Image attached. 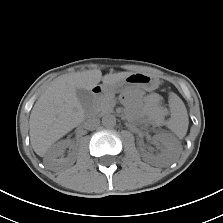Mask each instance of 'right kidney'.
Listing matches in <instances>:
<instances>
[{
  "mask_svg": "<svg viewBox=\"0 0 223 223\" xmlns=\"http://www.w3.org/2000/svg\"><path fill=\"white\" fill-rule=\"evenodd\" d=\"M70 145V141L61 140L54 144L44 157V164L48 168H55L60 165H72L74 163V157L71 155L67 158H61L64 150Z\"/></svg>",
  "mask_w": 223,
  "mask_h": 223,
  "instance_id": "1",
  "label": "right kidney"
}]
</instances>
